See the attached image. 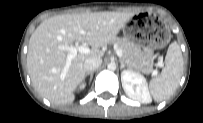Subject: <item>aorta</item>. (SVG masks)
Listing matches in <instances>:
<instances>
[{"label":"aorta","mask_w":203,"mask_h":123,"mask_svg":"<svg viewBox=\"0 0 203 123\" xmlns=\"http://www.w3.org/2000/svg\"><path fill=\"white\" fill-rule=\"evenodd\" d=\"M116 68V65L114 64V63H110L109 65H108V69L109 70H114Z\"/></svg>","instance_id":"762f6f07"}]
</instances>
